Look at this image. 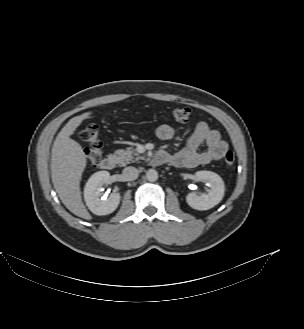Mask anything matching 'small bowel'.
<instances>
[{
  "instance_id": "obj_1",
  "label": "small bowel",
  "mask_w": 304,
  "mask_h": 329,
  "mask_svg": "<svg viewBox=\"0 0 304 329\" xmlns=\"http://www.w3.org/2000/svg\"><path fill=\"white\" fill-rule=\"evenodd\" d=\"M156 135L161 140H170L175 135V129L171 125L163 124L157 128ZM202 144H206L207 149L201 152L199 147ZM227 150L228 143L221 138L220 133L206 122L200 121L191 131L184 148L172 154L161 152L174 166L190 169L221 159Z\"/></svg>"
}]
</instances>
